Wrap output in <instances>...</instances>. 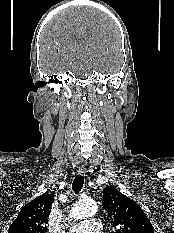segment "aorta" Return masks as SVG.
<instances>
[{
	"mask_svg": "<svg viewBox=\"0 0 174 233\" xmlns=\"http://www.w3.org/2000/svg\"><path fill=\"white\" fill-rule=\"evenodd\" d=\"M97 213V206L91 202H77L70 210V217L78 220L86 217H92Z\"/></svg>",
	"mask_w": 174,
	"mask_h": 233,
	"instance_id": "obj_1",
	"label": "aorta"
}]
</instances>
